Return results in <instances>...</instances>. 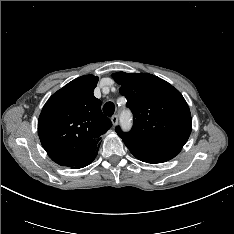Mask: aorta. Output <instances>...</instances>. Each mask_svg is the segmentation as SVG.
Masks as SVG:
<instances>
[{
    "label": "aorta",
    "instance_id": "obj_1",
    "mask_svg": "<svg viewBox=\"0 0 234 234\" xmlns=\"http://www.w3.org/2000/svg\"><path fill=\"white\" fill-rule=\"evenodd\" d=\"M120 122H121V126L124 130H129L132 126V118L128 114L122 115Z\"/></svg>",
    "mask_w": 234,
    "mask_h": 234
}]
</instances>
